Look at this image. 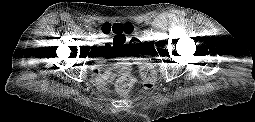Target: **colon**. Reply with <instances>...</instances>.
Wrapping results in <instances>:
<instances>
[{
  "label": "colon",
  "mask_w": 255,
  "mask_h": 122,
  "mask_svg": "<svg viewBox=\"0 0 255 122\" xmlns=\"http://www.w3.org/2000/svg\"><path fill=\"white\" fill-rule=\"evenodd\" d=\"M103 31L106 35L109 34H124L131 36L134 33V26L130 23L125 24H106L103 27ZM141 75L143 78V86L145 89H152L156 82V70L152 63L145 62L141 66ZM136 79L130 72L123 73L117 76L115 80V89L120 94L128 93L135 85Z\"/></svg>",
  "instance_id": "1"
}]
</instances>
